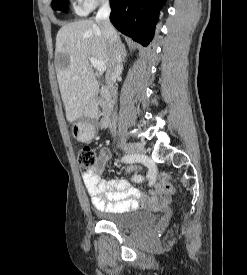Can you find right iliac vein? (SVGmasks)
<instances>
[{"mask_svg": "<svg viewBox=\"0 0 247 275\" xmlns=\"http://www.w3.org/2000/svg\"><path fill=\"white\" fill-rule=\"evenodd\" d=\"M123 150L128 154H145L143 146L137 143H126L123 145Z\"/></svg>", "mask_w": 247, "mask_h": 275, "instance_id": "63e3f726", "label": "right iliac vein"}]
</instances>
